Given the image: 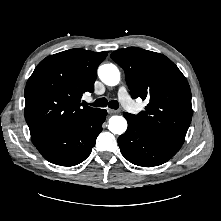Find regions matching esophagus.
I'll list each match as a JSON object with an SVG mask.
<instances>
[{
	"label": "esophagus",
	"mask_w": 221,
	"mask_h": 221,
	"mask_svg": "<svg viewBox=\"0 0 221 221\" xmlns=\"http://www.w3.org/2000/svg\"><path fill=\"white\" fill-rule=\"evenodd\" d=\"M108 113L111 114V115H114V114H118L119 111L118 110H113V109H107Z\"/></svg>",
	"instance_id": "obj_1"
}]
</instances>
